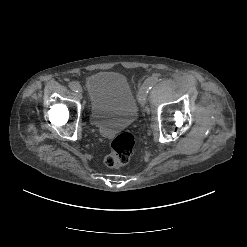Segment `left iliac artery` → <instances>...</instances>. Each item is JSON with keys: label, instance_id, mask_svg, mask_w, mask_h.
<instances>
[{"label": "left iliac artery", "instance_id": "left-iliac-artery-1", "mask_svg": "<svg viewBox=\"0 0 247 247\" xmlns=\"http://www.w3.org/2000/svg\"><path fill=\"white\" fill-rule=\"evenodd\" d=\"M158 82L157 77H150L144 82V86L147 90H150Z\"/></svg>", "mask_w": 247, "mask_h": 247}]
</instances>
